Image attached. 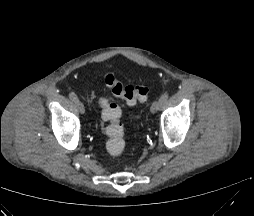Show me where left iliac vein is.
<instances>
[{"label":"left iliac vein","instance_id":"left-iliac-vein-1","mask_svg":"<svg viewBox=\"0 0 254 216\" xmlns=\"http://www.w3.org/2000/svg\"><path fill=\"white\" fill-rule=\"evenodd\" d=\"M160 107H161L160 101L159 100L158 101H154L152 103L151 107H150V112L151 113H155V112H157L160 109Z\"/></svg>","mask_w":254,"mask_h":216}]
</instances>
